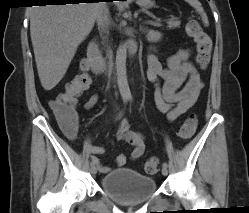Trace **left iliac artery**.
Masks as SVG:
<instances>
[{
  "instance_id": "44dca946",
  "label": "left iliac artery",
  "mask_w": 249,
  "mask_h": 213,
  "mask_svg": "<svg viewBox=\"0 0 249 213\" xmlns=\"http://www.w3.org/2000/svg\"><path fill=\"white\" fill-rule=\"evenodd\" d=\"M163 167H168V164L165 162V163L163 164Z\"/></svg>"
}]
</instances>
